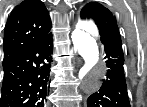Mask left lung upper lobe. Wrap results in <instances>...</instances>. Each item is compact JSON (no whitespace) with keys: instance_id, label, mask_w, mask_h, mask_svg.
<instances>
[{"instance_id":"left-lung-upper-lobe-1","label":"left lung upper lobe","mask_w":147,"mask_h":107,"mask_svg":"<svg viewBox=\"0 0 147 107\" xmlns=\"http://www.w3.org/2000/svg\"><path fill=\"white\" fill-rule=\"evenodd\" d=\"M80 17L84 20H93L99 29L101 37L114 32L119 33L116 19L113 17L112 13L98 2L87 3L82 8Z\"/></svg>"}]
</instances>
